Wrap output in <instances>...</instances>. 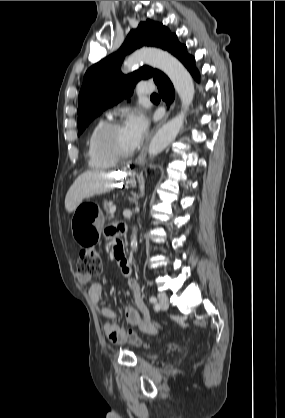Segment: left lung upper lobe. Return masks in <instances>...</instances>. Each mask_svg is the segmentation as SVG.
I'll return each mask as SVG.
<instances>
[{
  "label": "left lung upper lobe",
  "mask_w": 285,
  "mask_h": 418,
  "mask_svg": "<svg viewBox=\"0 0 285 418\" xmlns=\"http://www.w3.org/2000/svg\"><path fill=\"white\" fill-rule=\"evenodd\" d=\"M176 41L177 36L171 34L162 23L147 20L128 34L116 53L92 65L85 73L79 93L78 135L105 109L129 97L138 81L151 78L155 82L162 73L143 66L131 74L123 75L120 66L126 54L142 46H155L170 51Z\"/></svg>",
  "instance_id": "5c2ea615"
}]
</instances>
